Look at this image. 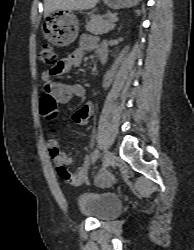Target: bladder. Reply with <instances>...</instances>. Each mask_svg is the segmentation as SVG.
Instances as JSON below:
<instances>
[{"instance_id": "1", "label": "bladder", "mask_w": 194, "mask_h": 250, "mask_svg": "<svg viewBox=\"0 0 194 250\" xmlns=\"http://www.w3.org/2000/svg\"><path fill=\"white\" fill-rule=\"evenodd\" d=\"M121 200L111 193H82L76 201L78 212L85 217L107 220L115 217L121 210Z\"/></svg>"}]
</instances>
